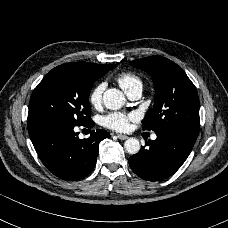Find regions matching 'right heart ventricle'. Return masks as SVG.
I'll use <instances>...</instances> for the list:
<instances>
[{
	"label": "right heart ventricle",
	"instance_id": "obj_1",
	"mask_svg": "<svg viewBox=\"0 0 228 228\" xmlns=\"http://www.w3.org/2000/svg\"><path fill=\"white\" fill-rule=\"evenodd\" d=\"M116 81L126 94L135 90L136 88L143 87L141 78L133 72H121L116 76Z\"/></svg>",
	"mask_w": 228,
	"mask_h": 228
}]
</instances>
